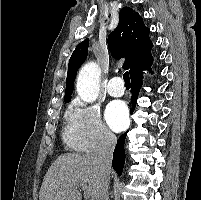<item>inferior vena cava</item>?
<instances>
[{
    "mask_svg": "<svg viewBox=\"0 0 201 200\" xmlns=\"http://www.w3.org/2000/svg\"><path fill=\"white\" fill-rule=\"evenodd\" d=\"M116 137L112 133H105L95 152V159L101 171V182L98 187L96 200H109L108 187L110 165L116 145Z\"/></svg>",
    "mask_w": 201,
    "mask_h": 200,
    "instance_id": "inferior-vena-cava-1",
    "label": "inferior vena cava"
}]
</instances>
